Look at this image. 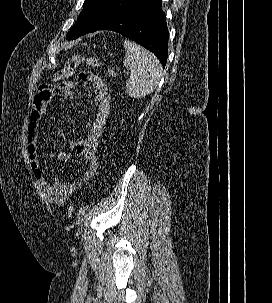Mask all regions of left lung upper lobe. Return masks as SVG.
I'll return each instance as SVG.
<instances>
[{
  "label": "left lung upper lobe",
  "instance_id": "obj_1",
  "mask_svg": "<svg viewBox=\"0 0 272 303\" xmlns=\"http://www.w3.org/2000/svg\"><path fill=\"white\" fill-rule=\"evenodd\" d=\"M142 0H85L77 22L67 34V39H76L89 32L101 22L134 6Z\"/></svg>",
  "mask_w": 272,
  "mask_h": 303
}]
</instances>
